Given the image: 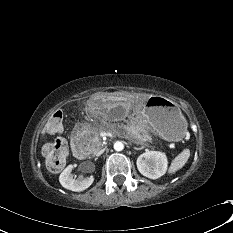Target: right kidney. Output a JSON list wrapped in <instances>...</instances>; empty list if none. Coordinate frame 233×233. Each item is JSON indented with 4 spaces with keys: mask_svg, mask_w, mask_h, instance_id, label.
Listing matches in <instances>:
<instances>
[{
    "mask_svg": "<svg viewBox=\"0 0 233 233\" xmlns=\"http://www.w3.org/2000/svg\"><path fill=\"white\" fill-rule=\"evenodd\" d=\"M73 165L67 166L59 176L60 184L71 191L80 192L87 189L94 181L93 176L83 178L79 176L77 179L72 175Z\"/></svg>",
    "mask_w": 233,
    "mask_h": 233,
    "instance_id": "1",
    "label": "right kidney"
}]
</instances>
